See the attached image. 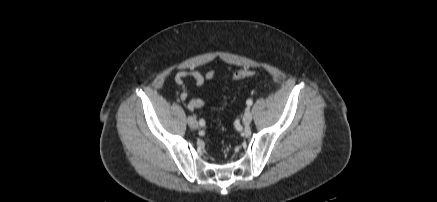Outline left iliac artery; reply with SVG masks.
Wrapping results in <instances>:
<instances>
[{"label": "left iliac artery", "instance_id": "44dca946", "mask_svg": "<svg viewBox=\"0 0 437 202\" xmlns=\"http://www.w3.org/2000/svg\"><path fill=\"white\" fill-rule=\"evenodd\" d=\"M252 103H253V101H252L251 99H248V100L246 101V104H247L248 106H251Z\"/></svg>", "mask_w": 437, "mask_h": 202}]
</instances>
